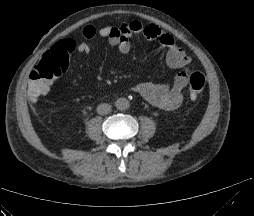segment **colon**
<instances>
[{"label": "colon", "mask_w": 254, "mask_h": 216, "mask_svg": "<svg viewBox=\"0 0 254 216\" xmlns=\"http://www.w3.org/2000/svg\"><path fill=\"white\" fill-rule=\"evenodd\" d=\"M67 55L58 49L46 52L32 71L25 84L26 97L34 102L44 100L53 86V80L60 77L68 68ZM205 75L199 70H193L189 75V91L195 99L204 89Z\"/></svg>", "instance_id": "5ec220e1"}]
</instances>
